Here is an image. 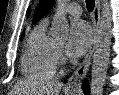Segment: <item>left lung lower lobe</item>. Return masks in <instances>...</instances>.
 I'll list each match as a JSON object with an SVG mask.
<instances>
[{
  "mask_svg": "<svg viewBox=\"0 0 119 95\" xmlns=\"http://www.w3.org/2000/svg\"><path fill=\"white\" fill-rule=\"evenodd\" d=\"M83 90H84V93H85L86 95H88V93H89V86H88L87 83L83 86Z\"/></svg>",
  "mask_w": 119,
  "mask_h": 95,
  "instance_id": "0a47b994",
  "label": "left lung lower lobe"
}]
</instances>
